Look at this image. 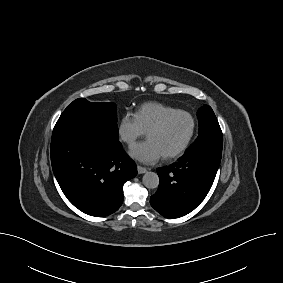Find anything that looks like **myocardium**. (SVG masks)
Wrapping results in <instances>:
<instances>
[{
	"label": "myocardium",
	"mask_w": 283,
	"mask_h": 283,
	"mask_svg": "<svg viewBox=\"0 0 283 283\" xmlns=\"http://www.w3.org/2000/svg\"><path fill=\"white\" fill-rule=\"evenodd\" d=\"M176 116H186L190 119L191 121V130L190 133L187 137V139L185 140V142L174 152L170 153V154H165L163 155V158L166 160H171V159H175L180 157L182 154H184V152L188 149L189 145L191 144L193 137L195 135L196 132V121L195 118L192 116V114H190L189 112L183 111V110H177L174 111L172 113H169L167 115H165L156 125H154L148 132H147V136L159 132L161 131L166 124L174 117Z\"/></svg>",
	"instance_id": "1"
}]
</instances>
